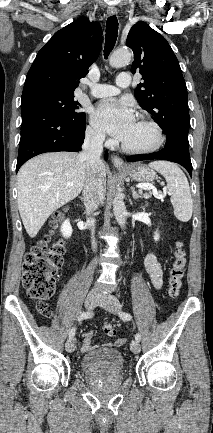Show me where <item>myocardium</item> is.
I'll use <instances>...</instances> for the list:
<instances>
[{
	"instance_id": "myocardium-1",
	"label": "myocardium",
	"mask_w": 213,
	"mask_h": 433,
	"mask_svg": "<svg viewBox=\"0 0 213 433\" xmlns=\"http://www.w3.org/2000/svg\"><path fill=\"white\" fill-rule=\"evenodd\" d=\"M138 121L142 122L153 130L155 135L154 142L150 146L144 148H131L122 142V150L130 154H148L158 150L165 140V136L160 125L147 116H141Z\"/></svg>"
}]
</instances>
